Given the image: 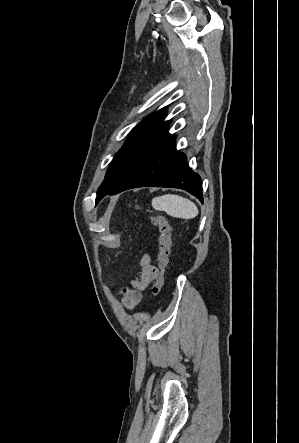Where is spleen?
Instances as JSON below:
<instances>
[{"instance_id":"obj_1","label":"spleen","mask_w":299,"mask_h":443,"mask_svg":"<svg viewBox=\"0 0 299 443\" xmlns=\"http://www.w3.org/2000/svg\"><path fill=\"white\" fill-rule=\"evenodd\" d=\"M152 206L157 211H165L170 216L182 219H192L199 213L191 200L175 194L153 198Z\"/></svg>"}]
</instances>
